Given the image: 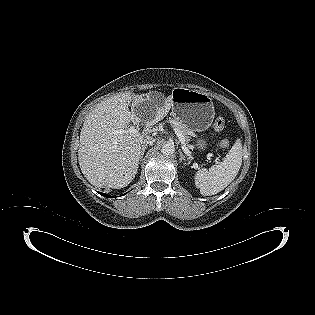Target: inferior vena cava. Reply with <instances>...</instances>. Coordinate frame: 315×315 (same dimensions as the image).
<instances>
[{
  "label": "inferior vena cava",
  "instance_id": "inferior-vena-cava-1",
  "mask_svg": "<svg viewBox=\"0 0 315 315\" xmlns=\"http://www.w3.org/2000/svg\"><path fill=\"white\" fill-rule=\"evenodd\" d=\"M154 142H155L154 139H152V138H146V139H143V140L141 141V144H143V145H153Z\"/></svg>",
  "mask_w": 315,
  "mask_h": 315
}]
</instances>
